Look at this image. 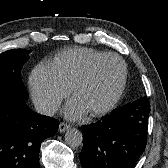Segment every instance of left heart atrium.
<instances>
[{"mask_svg": "<svg viewBox=\"0 0 168 168\" xmlns=\"http://www.w3.org/2000/svg\"><path fill=\"white\" fill-rule=\"evenodd\" d=\"M88 112L84 104L76 97L71 99L64 109V114L70 119H80Z\"/></svg>", "mask_w": 168, "mask_h": 168, "instance_id": "left-heart-atrium-1", "label": "left heart atrium"}]
</instances>
